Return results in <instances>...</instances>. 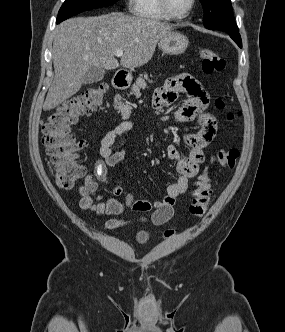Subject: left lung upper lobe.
<instances>
[{
	"mask_svg": "<svg viewBox=\"0 0 285 332\" xmlns=\"http://www.w3.org/2000/svg\"><path fill=\"white\" fill-rule=\"evenodd\" d=\"M204 10V26L211 30L239 33L230 0H200Z\"/></svg>",
	"mask_w": 285,
	"mask_h": 332,
	"instance_id": "5c2ea615",
	"label": "left lung upper lobe"
}]
</instances>
